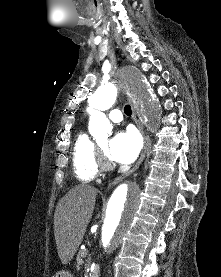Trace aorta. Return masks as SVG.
Here are the masks:
<instances>
[{"instance_id":"762f6f07","label":"aorta","mask_w":221,"mask_h":277,"mask_svg":"<svg viewBox=\"0 0 221 277\" xmlns=\"http://www.w3.org/2000/svg\"><path fill=\"white\" fill-rule=\"evenodd\" d=\"M123 83L126 90L142 105L148 123L158 127L162 118L159 99L153 94L140 71L134 67L123 71L118 80L101 85L89 99V132L96 140L107 138L112 130L103 111L109 109L118 96V85ZM141 191L136 183H122L112 192L101 226V247L104 254H110L121 243L130 229L140 205Z\"/></svg>"}]
</instances>
